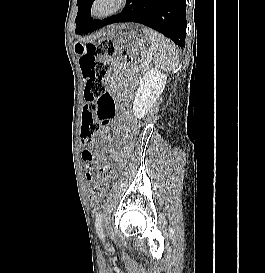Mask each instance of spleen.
<instances>
[{
  "mask_svg": "<svg viewBox=\"0 0 265 273\" xmlns=\"http://www.w3.org/2000/svg\"><path fill=\"white\" fill-rule=\"evenodd\" d=\"M150 44V53H155L156 66L164 71L174 70L179 63L175 45L160 33L149 28L143 29Z\"/></svg>",
  "mask_w": 265,
  "mask_h": 273,
  "instance_id": "obj_1",
  "label": "spleen"
}]
</instances>
